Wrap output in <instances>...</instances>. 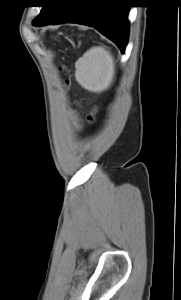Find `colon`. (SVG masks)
<instances>
[{
	"instance_id": "obj_1",
	"label": "colon",
	"mask_w": 181,
	"mask_h": 300,
	"mask_svg": "<svg viewBox=\"0 0 181 300\" xmlns=\"http://www.w3.org/2000/svg\"><path fill=\"white\" fill-rule=\"evenodd\" d=\"M98 109L97 107H94L92 109V111L90 112L89 116H88V120L90 123H94L96 120V115H97Z\"/></svg>"
}]
</instances>
